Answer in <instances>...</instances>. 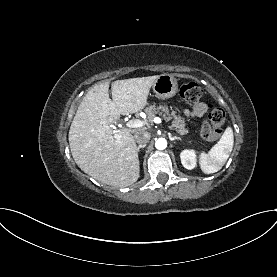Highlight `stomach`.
<instances>
[{
  "label": "stomach",
  "instance_id": "1",
  "mask_svg": "<svg viewBox=\"0 0 277 277\" xmlns=\"http://www.w3.org/2000/svg\"><path fill=\"white\" fill-rule=\"evenodd\" d=\"M153 91L160 99L173 97L178 91L177 79L170 74H162L154 82Z\"/></svg>",
  "mask_w": 277,
  "mask_h": 277
}]
</instances>
